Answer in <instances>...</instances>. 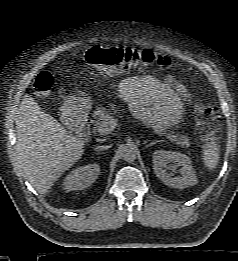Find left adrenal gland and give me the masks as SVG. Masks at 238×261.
I'll return each instance as SVG.
<instances>
[{"label": "left adrenal gland", "instance_id": "left-adrenal-gland-1", "mask_svg": "<svg viewBox=\"0 0 238 261\" xmlns=\"http://www.w3.org/2000/svg\"><path fill=\"white\" fill-rule=\"evenodd\" d=\"M159 142H162V140L152 141L151 143L146 144L145 148H148V147H150V146H152V145H154V144H156V143H159Z\"/></svg>", "mask_w": 238, "mask_h": 261}]
</instances>
